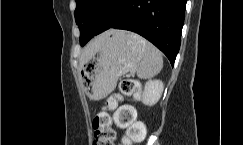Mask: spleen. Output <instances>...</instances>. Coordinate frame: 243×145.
<instances>
[{
	"instance_id": "spleen-1",
	"label": "spleen",
	"mask_w": 243,
	"mask_h": 145,
	"mask_svg": "<svg viewBox=\"0 0 243 145\" xmlns=\"http://www.w3.org/2000/svg\"><path fill=\"white\" fill-rule=\"evenodd\" d=\"M145 47L144 58L138 66L137 76L140 79H150L157 75L163 67V58L160 51L143 38L140 40Z\"/></svg>"
}]
</instances>
